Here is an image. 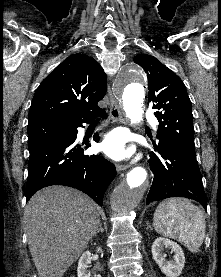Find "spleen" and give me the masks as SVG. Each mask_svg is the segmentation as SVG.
<instances>
[{"label": "spleen", "instance_id": "obj_1", "mask_svg": "<svg viewBox=\"0 0 221 277\" xmlns=\"http://www.w3.org/2000/svg\"><path fill=\"white\" fill-rule=\"evenodd\" d=\"M153 226L159 234L179 241L194 253L205 237L204 214L186 198L162 201L155 210Z\"/></svg>", "mask_w": 221, "mask_h": 277}]
</instances>
